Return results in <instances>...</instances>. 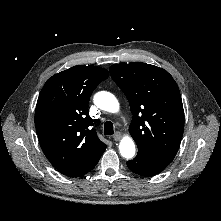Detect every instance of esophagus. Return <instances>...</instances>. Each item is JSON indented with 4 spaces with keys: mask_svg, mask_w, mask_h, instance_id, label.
Here are the masks:
<instances>
[{
    "mask_svg": "<svg viewBox=\"0 0 221 221\" xmlns=\"http://www.w3.org/2000/svg\"><path fill=\"white\" fill-rule=\"evenodd\" d=\"M121 137H122V133H121V132H116V133L113 135V139H114L115 141L120 140Z\"/></svg>",
    "mask_w": 221,
    "mask_h": 221,
    "instance_id": "34e87169",
    "label": "esophagus"
}]
</instances>
